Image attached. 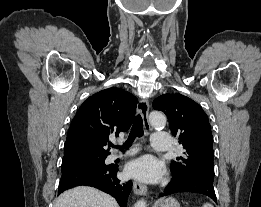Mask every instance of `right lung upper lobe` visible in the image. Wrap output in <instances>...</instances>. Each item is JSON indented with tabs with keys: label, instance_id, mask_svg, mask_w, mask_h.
I'll list each match as a JSON object with an SVG mask.
<instances>
[{
	"label": "right lung upper lobe",
	"instance_id": "cb5924a9",
	"mask_svg": "<svg viewBox=\"0 0 261 207\" xmlns=\"http://www.w3.org/2000/svg\"><path fill=\"white\" fill-rule=\"evenodd\" d=\"M137 99L112 87L90 96L78 109L69 127L62 161L108 156L104 146L109 136L127 131L135 114Z\"/></svg>",
	"mask_w": 261,
	"mask_h": 207
}]
</instances>
